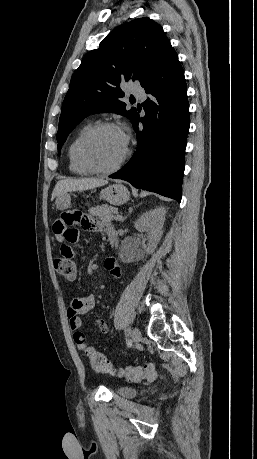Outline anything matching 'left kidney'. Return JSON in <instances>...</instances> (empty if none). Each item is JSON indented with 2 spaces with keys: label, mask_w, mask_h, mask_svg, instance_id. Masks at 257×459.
<instances>
[{
  "label": "left kidney",
  "mask_w": 257,
  "mask_h": 459,
  "mask_svg": "<svg viewBox=\"0 0 257 459\" xmlns=\"http://www.w3.org/2000/svg\"><path fill=\"white\" fill-rule=\"evenodd\" d=\"M165 214V208L158 207L145 212L135 222L136 230L140 233H145L147 235L149 243L144 250L148 254L154 252L163 235Z\"/></svg>",
  "instance_id": "5707ae66"
}]
</instances>
